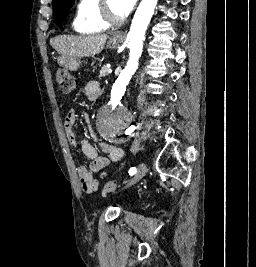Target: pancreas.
Instances as JSON below:
<instances>
[{
  "label": "pancreas",
  "mask_w": 256,
  "mask_h": 267,
  "mask_svg": "<svg viewBox=\"0 0 256 267\" xmlns=\"http://www.w3.org/2000/svg\"><path fill=\"white\" fill-rule=\"evenodd\" d=\"M107 70H109V68H101L100 70V78H103V76H107Z\"/></svg>",
  "instance_id": "1"
}]
</instances>
